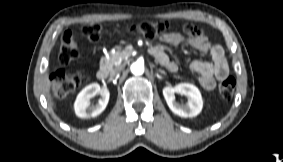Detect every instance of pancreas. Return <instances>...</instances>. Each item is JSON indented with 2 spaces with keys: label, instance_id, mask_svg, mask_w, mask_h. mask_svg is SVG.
Instances as JSON below:
<instances>
[{
  "label": "pancreas",
  "instance_id": "cf45deb5",
  "mask_svg": "<svg viewBox=\"0 0 283 162\" xmlns=\"http://www.w3.org/2000/svg\"><path fill=\"white\" fill-rule=\"evenodd\" d=\"M128 54L126 51L117 50L115 53H111L107 57L101 59L100 65L106 67L108 70H112L114 67H118L121 61Z\"/></svg>",
  "mask_w": 283,
  "mask_h": 162
}]
</instances>
